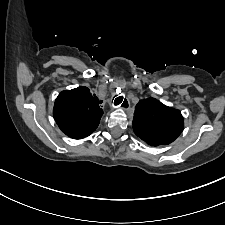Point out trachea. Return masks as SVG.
Returning <instances> with one entry per match:
<instances>
[{
    "mask_svg": "<svg viewBox=\"0 0 225 225\" xmlns=\"http://www.w3.org/2000/svg\"><path fill=\"white\" fill-rule=\"evenodd\" d=\"M122 101H123V96L117 97L116 100H115V105H119ZM125 101L123 102L124 106L127 105Z\"/></svg>",
    "mask_w": 225,
    "mask_h": 225,
    "instance_id": "1",
    "label": "trachea"
}]
</instances>
